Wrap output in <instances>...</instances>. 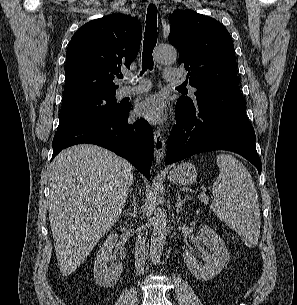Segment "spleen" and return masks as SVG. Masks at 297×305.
<instances>
[{"label": "spleen", "mask_w": 297, "mask_h": 305, "mask_svg": "<svg viewBox=\"0 0 297 305\" xmlns=\"http://www.w3.org/2000/svg\"><path fill=\"white\" fill-rule=\"evenodd\" d=\"M220 173L212 186L211 208L249 246H256L260 233L258 195L247 168L229 154L217 156Z\"/></svg>", "instance_id": "1"}]
</instances>
